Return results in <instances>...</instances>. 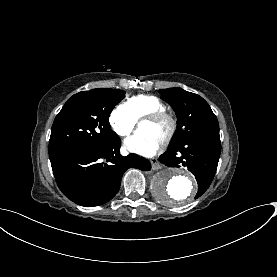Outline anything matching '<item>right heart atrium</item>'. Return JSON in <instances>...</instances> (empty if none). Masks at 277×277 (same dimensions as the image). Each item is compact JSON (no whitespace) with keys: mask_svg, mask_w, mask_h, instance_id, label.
Returning a JSON list of instances; mask_svg holds the SVG:
<instances>
[{"mask_svg":"<svg viewBox=\"0 0 277 277\" xmlns=\"http://www.w3.org/2000/svg\"><path fill=\"white\" fill-rule=\"evenodd\" d=\"M109 122L112 129L121 137L130 135L136 125V120L129 112V110L123 106H117L109 117Z\"/></svg>","mask_w":277,"mask_h":277,"instance_id":"d8ad5b80","label":"right heart atrium"}]
</instances>
